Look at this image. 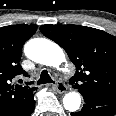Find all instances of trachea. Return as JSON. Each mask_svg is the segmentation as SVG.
I'll return each mask as SVG.
<instances>
[{"mask_svg": "<svg viewBox=\"0 0 116 116\" xmlns=\"http://www.w3.org/2000/svg\"><path fill=\"white\" fill-rule=\"evenodd\" d=\"M45 83H54V81L51 79L50 75L48 74L47 70H43L41 72L40 78L37 82L38 85Z\"/></svg>", "mask_w": 116, "mask_h": 116, "instance_id": "1", "label": "trachea"}]
</instances>
